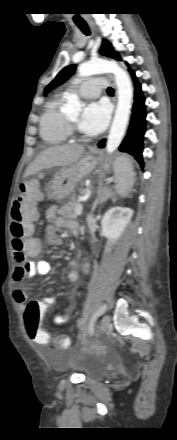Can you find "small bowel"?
<instances>
[{"label": "small bowel", "instance_id": "small-bowel-1", "mask_svg": "<svg viewBox=\"0 0 177 440\" xmlns=\"http://www.w3.org/2000/svg\"><path fill=\"white\" fill-rule=\"evenodd\" d=\"M45 217L50 222L44 228L45 241L49 245H59L62 243V238L58 234L59 229L73 230V228L78 226L75 221L69 220L65 217L58 216L57 207L55 205H52L46 209ZM36 243L38 245V248L35 254H37L40 249V243L38 241H36ZM16 260L18 262V265L13 272V281L16 285H20L26 278H32L38 275H45L48 274L51 270L50 263L45 260L26 261V260H21L19 258H16ZM77 265L78 263L75 260H72L69 263L71 270L68 272L67 277L68 280L73 284H76L80 278V274L76 270ZM86 272H87V264H84L83 273ZM13 298L20 307L22 308L25 307V304L27 302V295L22 289L20 288L15 289L13 292ZM46 298H54V300L56 299L53 296H49ZM69 319H70V314L66 313L64 315L57 316L54 319V321L56 324L61 325L66 323Z\"/></svg>", "mask_w": 177, "mask_h": 440}]
</instances>
